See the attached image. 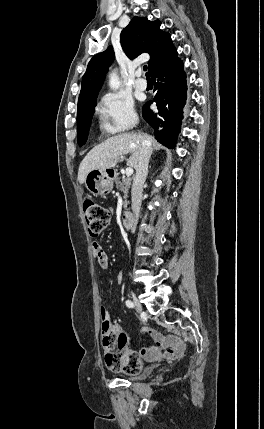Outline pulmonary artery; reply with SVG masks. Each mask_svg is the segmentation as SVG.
<instances>
[{
	"instance_id": "e3ab8cb5",
	"label": "pulmonary artery",
	"mask_w": 264,
	"mask_h": 429,
	"mask_svg": "<svg viewBox=\"0 0 264 429\" xmlns=\"http://www.w3.org/2000/svg\"><path fill=\"white\" fill-rule=\"evenodd\" d=\"M136 76H137V79L135 81V87L138 90H145L147 88V83L143 78H141V72L137 71Z\"/></svg>"
}]
</instances>
